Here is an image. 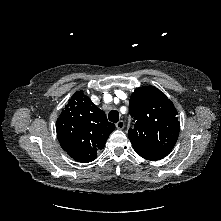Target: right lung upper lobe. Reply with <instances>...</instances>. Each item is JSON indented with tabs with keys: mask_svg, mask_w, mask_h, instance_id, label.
I'll use <instances>...</instances> for the list:
<instances>
[{
	"mask_svg": "<svg viewBox=\"0 0 221 221\" xmlns=\"http://www.w3.org/2000/svg\"><path fill=\"white\" fill-rule=\"evenodd\" d=\"M115 125L108 122L104 111L77 91L69 99L56 122L57 138L63 150L81 163L93 161Z\"/></svg>",
	"mask_w": 221,
	"mask_h": 221,
	"instance_id": "obj_1",
	"label": "right lung upper lobe"
}]
</instances>
